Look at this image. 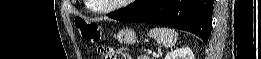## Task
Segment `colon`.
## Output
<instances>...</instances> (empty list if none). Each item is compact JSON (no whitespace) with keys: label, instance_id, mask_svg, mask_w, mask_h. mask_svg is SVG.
Segmentation results:
<instances>
[{"label":"colon","instance_id":"1","mask_svg":"<svg viewBox=\"0 0 261 59\" xmlns=\"http://www.w3.org/2000/svg\"><path fill=\"white\" fill-rule=\"evenodd\" d=\"M78 31L81 36L88 42L99 43L101 40V28L93 21H83L79 20L75 22ZM98 52L100 53L102 59H116L120 51L116 48H111L107 46H99ZM125 53H121V57Z\"/></svg>","mask_w":261,"mask_h":59}]
</instances>
